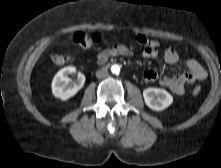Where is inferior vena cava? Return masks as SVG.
Wrapping results in <instances>:
<instances>
[{
    "mask_svg": "<svg viewBox=\"0 0 221 168\" xmlns=\"http://www.w3.org/2000/svg\"><path fill=\"white\" fill-rule=\"evenodd\" d=\"M108 76V71L106 69H99L96 72V77L102 79Z\"/></svg>",
    "mask_w": 221,
    "mask_h": 168,
    "instance_id": "obj_1",
    "label": "inferior vena cava"
}]
</instances>
